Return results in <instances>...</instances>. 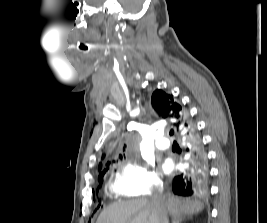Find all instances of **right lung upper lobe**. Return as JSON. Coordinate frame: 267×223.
<instances>
[{"instance_id": "right-lung-upper-lobe-1", "label": "right lung upper lobe", "mask_w": 267, "mask_h": 223, "mask_svg": "<svg viewBox=\"0 0 267 223\" xmlns=\"http://www.w3.org/2000/svg\"><path fill=\"white\" fill-rule=\"evenodd\" d=\"M152 107L161 118L168 120L177 132L182 133V136L189 126L195 128L187 110L174 101L172 95L163 90L157 89L153 92ZM101 167L102 164L99 165V170ZM104 172L105 170L99 174L100 180L102 179Z\"/></svg>"}]
</instances>
